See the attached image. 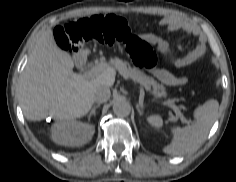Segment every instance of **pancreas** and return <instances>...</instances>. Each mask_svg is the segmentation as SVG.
I'll use <instances>...</instances> for the list:
<instances>
[{"label":"pancreas","mask_w":236,"mask_h":182,"mask_svg":"<svg viewBox=\"0 0 236 182\" xmlns=\"http://www.w3.org/2000/svg\"><path fill=\"white\" fill-rule=\"evenodd\" d=\"M114 65L124 78L132 79L133 81L139 83L147 91L151 90V87H153V93L156 96H164L166 94L165 88L163 86L159 85L152 77L147 76L141 70L137 68H131L127 62L116 60Z\"/></svg>","instance_id":"obj_1"}]
</instances>
